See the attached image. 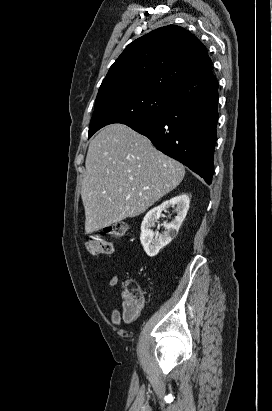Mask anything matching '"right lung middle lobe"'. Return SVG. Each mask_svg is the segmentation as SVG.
I'll use <instances>...</instances> for the list:
<instances>
[{
  "mask_svg": "<svg viewBox=\"0 0 272 411\" xmlns=\"http://www.w3.org/2000/svg\"><path fill=\"white\" fill-rule=\"evenodd\" d=\"M178 104L171 95L147 88L109 91L97 95L89 138L111 123L130 125L163 113Z\"/></svg>",
  "mask_w": 272,
  "mask_h": 411,
  "instance_id": "dd1d6c3e",
  "label": "right lung middle lobe"
}]
</instances>
